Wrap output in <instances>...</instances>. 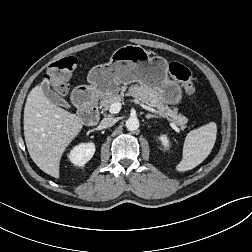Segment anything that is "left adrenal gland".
I'll list each match as a JSON object with an SVG mask.
<instances>
[{
    "mask_svg": "<svg viewBox=\"0 0 252 252\" xmlns=\"http://www.w3.org/2000/svg\"><path fill=\"white\" fill-rule=\"evenodd\" d=\"M145 117L146 119L158 118V116L152 114H146Z\"/></svg>",
    "mask_w": 252,
    "mask_h": 252,
    "instance_id": "left-adrenal-gland-1",
    "label": "left adrenal gland"
}]
</instances>
